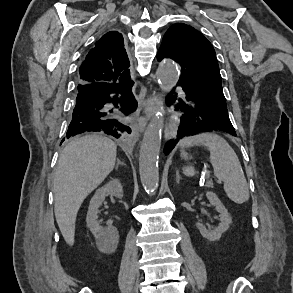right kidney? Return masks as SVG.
Wrapping results in <instances>:
<instances>
[{"instance_id": "right-kidney-1", "label": "right kidney", "mask_w": 293, "mask_h": 293, "mask_svg": "<svg viewBox=\"0 0 293 293\" xmlns=\"http://www.w3.org/2000/svg\"><path fill=\"white\" fill-rule=\"evenodd\" d=\"M108 195L116 198L123 197V189L118 179H113L95 192L90 201L86 223L94 237L100 242L101 247H116L119 237L117 229L111 225L103 228L97 220L99 207Z\"/></svg>"}]
</instances>
